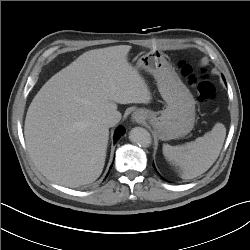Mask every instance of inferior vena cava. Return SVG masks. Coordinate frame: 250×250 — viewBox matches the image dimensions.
Here are the masks:
<instances>
[{"mask_svg": "<svg viewBox=\"0 0 250 250\" xmlns=\"http://www.w3.org/2000/svg\"><path fill=\"white\" fill-rule=\"evenodd\" d=\"M121 119V113L118 111H113L107 114L103 119L102 122L107 127H113L116 125Z\"/></svg>", "mask_w": 250, "mask_h": 250, "instance_id": "602c4592", "label": "inferior vena cava"}]
</instances>
